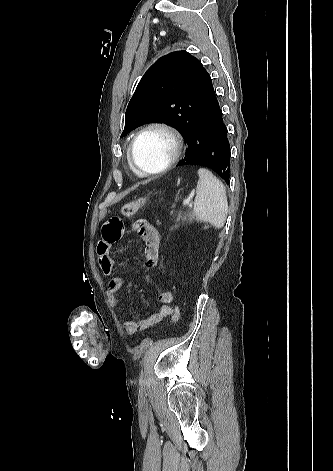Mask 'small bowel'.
I'll return each mask as SVG.
<instances>
[{
	"label": "small bowel",
	"mask_w": 333,
	"mask_h": 471,
	"mask_svg": "<svg viewBox=\"0 0 333 471\" xmlns=\"http://www.w3.org/2000/svg\"><path fill=\"white\" fill-rule=\"evenodd\" d=\"M134 230L139 234L144 243V257L147 267L157 266L159 261L160 235L157 229L146 220H139L134 224ZM125 226L122 219L112 216L107 219L102 228V238L97 245L98 261L102 272L110 275L115 267L112 257V247L124 234ZM124 280L120 276L110 279L107 285V298L111 305L118 304V292L122 288ZM160 306L158 309L139 321L127 320L124 322L125 334L131 336L139 331L146 330L151 326L161 322L173 313L171 304L174 295L169 290H164L159 294Z\"/></svg>",
	"instance_id": "small-bowel-1"
}]
</instances>
